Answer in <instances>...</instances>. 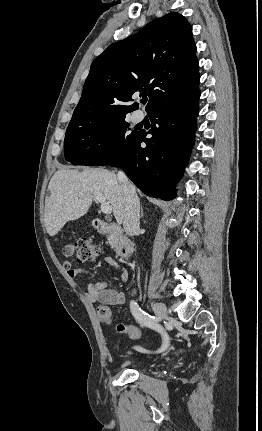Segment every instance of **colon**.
Wrapping results in <instances>:
<instances>
[{"label": "colon", "instance_id": "1", "mask_svg": "<svg viewBox=\"0 0 262 431\" xmlns=\"http://www.w3.org/2000/svg\"><path fill=\"white\" fill-rule=\"evenodd\" d=\"M98 253V247L86 238L73 240L63 247V254L66 257H74L78 263L91 262L97 257ZM99 317L104 324L109 326L112 325L113 320L106 310L100 312ZM117 330L120 333H125L131 339H139L142 335L141 330L135 326H125L120 324L118 325Z\"/></svg>", "mask_w": 262, "mask_h": 431}]
</instances>
